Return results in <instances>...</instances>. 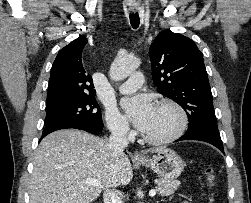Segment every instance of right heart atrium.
I'll list each match as a JSON object with an SVG mask.
<instances>
[{
    "label": "right heart atrium",
    "mask_w": 251,
    "mask_h": 203,
    "mask_svg": "<svg viewBox=\"0 0 251 203\" xmlns=\"http://www.w3.org/2000/svg\"><path fill=\"white\" fill-rule=\"evenodd\" d=\"M106 123L109 131L118 137H127L130 135V128L125 117L115 108L106 110Z\"/></svg>",
    "instance_id": "right-heart-atrium-1"
}]
</instances>
